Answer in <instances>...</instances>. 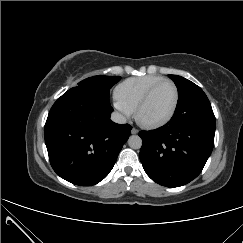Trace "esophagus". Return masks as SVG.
I'll return each mask as SVG.
<instances>
[{
    "mask_svg": "<svg viewBox=\"0 0 243 243\" xmlns=\"http://www.w3.org/2000/svg\"><path fill=\"white\" fill-rule=\"evenodd\" d=\"M131 133L132 134H137L138 133V130L136 128H132Z\"/></svg>",
    "mask_w": 243,
    "mask_h": 243,
    "instance_id": "obj_1",
    "label": "esophagus"
}]
</instances>
